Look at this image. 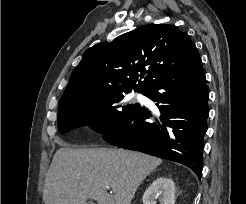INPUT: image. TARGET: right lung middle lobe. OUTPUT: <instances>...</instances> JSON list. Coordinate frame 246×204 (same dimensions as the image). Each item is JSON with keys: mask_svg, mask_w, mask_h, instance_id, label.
Segmentation results:
<instances>
[{"mask_svg": "<svg viewBox=\"0 0 246 204\" xmlns=\"http://www.w3.org/2000/svg\"><path fill=\"white\" fill-rule=\"evenodd\" d=\"M125 94L96 95L59 105L57 122L60 133L86 126L104 134L120 127L139 105L124 103Z\"/></svg>", "mask_w": 246, "mask_h": 204, "instance_id": "1", "label": "right lung middle lobe"}]
</instances>
